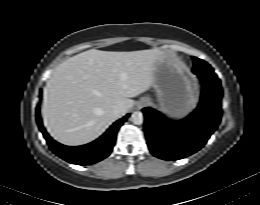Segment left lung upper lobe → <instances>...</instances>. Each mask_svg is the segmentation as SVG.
<instances>
[{
	"instance_id": "5c2ea615",
	"label": "left lung upper lobe",
	"mask_w": 260,
	"mask_h": 205,
	"mask_svg": "<svg viewBox=\"0 0 260 205\" xmlns=\"http://www.w3.org/2000/svg\"><path fill=\"white\" fill-rule=\"evenodd\" d=\"M193 59H194L193 72L201 71L210 76L215 75L212 67L207 62H205L204 60L198 59L196 57H194Z\"/></svg>"
}]
</instances>
